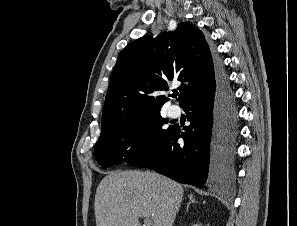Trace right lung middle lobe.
<instances>
[{"label":"right lung middle lobe","instance_id":"obj_1","mask_svg":"<svg viewBox=\"0 0 297 226\" xmlns=\"http://www.w3.org/2000/svg\"><path fill=\"white\" fill-rule=\"evenodd\" d=\"M160 110L131 116L114 125L102 126L94 149L95 157L103 168L142 158L155 149L173 126Z\"/></svg>","mask_w":297,"mask_h":226}]
</instances>
